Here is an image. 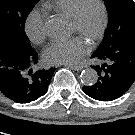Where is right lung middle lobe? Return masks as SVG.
Segmentation results:
<instances>
[{"instance_id":"1","label":"right lung middle lobe","mask_w":135,"mask_h":135,"mask_svg":"<svg viewBox=\"0 0 135 135\" xmlns=\"http://www.w3.org/2000/svg\"><path fill=\"white\" fill-rule=\"evenodd\" d=\"M39 0H0V32L12 35L27 48H32L24 31L27 15Z\"/></svg>"}]
</instances>
